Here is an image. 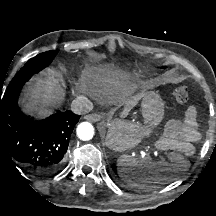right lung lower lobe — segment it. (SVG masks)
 <instances>
[{"instance_id":"98d812e1","label":"right lung lower lobe","mask_w":216,"mask_h":216,"mask_svg":"<svg viewBox=\"0 0 216 216\" xmlns=\"http://www.w3.org/2000/svg\"><path fill=\"white\" fill-rule=\"evenodd\" d=\"M18 94L0 100V157L20 163L36 176L54 174L64 163L70 136L80 116L65 111L33 121L19 109Z\"/></svg>"}]
</instances>
